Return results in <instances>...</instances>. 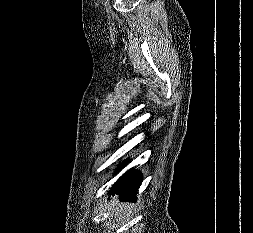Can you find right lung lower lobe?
Instances as JSON below:
<instances>
[{"label":"right lung lower lobe","instance_id":"right-lung-lower-lobe-1","mask_svg":"<svg viewBox=\"0 0 253 233\" xmlns=\"http://www.w3.org/2000/svg\"><path fill=\"white\" fill-rule=\"evenodd\" d=\"M128 163L126 160L120 165L116 172L122 169V167ZM141 184V174L134 170H129L122 177L117 180L111 189V194L119 195L120 200H136L137 190Z\"/></svg>","mask_w":253,"mask_h":233}]
</instances>
